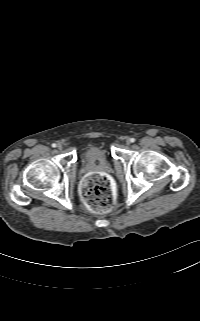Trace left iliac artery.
<instances>
[{
  "mask_svg": "<svg viewBox=\"0 0 200 321\" xmlns=\"http://www.w3.org/2000/svg\"><path fill=\"white\" fill-rule=\"evenodd\" d=\"M131 142H135V138H131Z\"/></svg>",
  "mask_w": 200,
  "mask_h": 321,
  "instance_id": "1",
  "label": "left iliac artery"
}]
</instances>
